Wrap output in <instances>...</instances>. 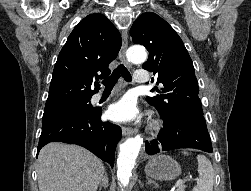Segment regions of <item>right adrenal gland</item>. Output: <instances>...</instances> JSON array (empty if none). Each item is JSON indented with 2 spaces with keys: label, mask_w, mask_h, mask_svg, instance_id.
<instances>
[{
  "label": "right adrenal gland",
  "mask_w": 251,
  "mask_h": 191,
  "mask_svg": "<svg viewBox=\"0 0 251 191\" xmlns=\"http://www.w3.org/2000/svg\"><path fill=\"white\" fill-rule=\"evenodd\" d=\"M109 181H108V175L107 171H104V175L99 183V191H101L102 187H108Z\"/></svg>",
  "instance_id": "right-adrenal-gland-1"
}]
</instances>
